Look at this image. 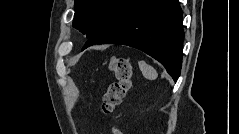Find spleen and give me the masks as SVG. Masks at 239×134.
Segmentation results:
<instances>
[{"instance_id": "3e777b00", "label": "spleen", "mask_w": 239, "mask_h": 134, "mask_svg": "<svg viewBox=\"0 0 239 134\" xmlns=\"http://www.w3.org/2000/svg\"><path fill=\"white\" fill-rule=\"evenodd\" d=\"M139 68L143 76L148 80H155L158 76L156 70L144 61H138Z\"/></svg>"}]
</instances>
